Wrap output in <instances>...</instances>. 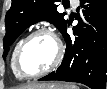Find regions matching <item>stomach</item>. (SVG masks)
<instances>
[{
    "instance_id": "1",
    "label": "stomach",
    "mask_w": 107,
    "mask_h": 89,
    "mask_svg": "<svg viewBox=\"0 0 107 89\" xmlns=\"http://www.w3.org/2000/svg\"><path fill=\"white\" fill-rule=\"evenodd\" d=\"M32 89H65V85L47 84L45 87H34Z\"/></svg>"
}]
</instances>
